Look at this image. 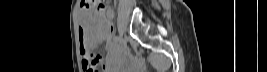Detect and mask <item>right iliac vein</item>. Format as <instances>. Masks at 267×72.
<instances>
[{
	"label": "right iliac vein",
	"instance_id": "1",
	"mask_svg": "<svg viewBox=\"0 0 267 72\" xmlns=\"http://www.w3.org/2000/svg\"><path fill=\"white\" fill-rule=\"evenodd\" d=\"M123 43H124V40H123V38L121 37L120 40H119V45H123Z\"/></svg>",
	"mask_w": 267,
	"mask_h": 72
}]
</instances>
